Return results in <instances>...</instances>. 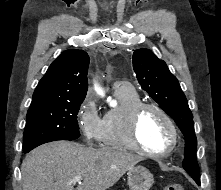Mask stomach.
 I'll use <instances>...</instances> for the list:
<instances>
[{
  "label": "stomach",
  "instance_id": "1",
  "mask_svg": "<svg viewBox=\"0 0 221 190\" xmlns=\"http://www.w3.org/2000/svg\"><path fill=\"white\" fill-rule=\"evenodd\" d=\"M127 176L131 190H149L154 183L152 173L143 166L132 167Z\"/></svg>",
  "mask_w": 221,
  "mask_h": 190
}]
</instances>
